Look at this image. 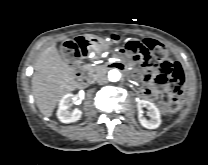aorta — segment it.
Wrapping results in <instances>:
<instances>
[{
    "mask_svg": "<svg viewBox=\"0 0 208 165\" xmlns=\"http://www.w3.org/2000/svg\"><path fill=\"white\" fill-rule=\"evenodd\" d=\"M108 78L111 82H117L121 78V74L117 69H112L108 72Z\"/></svg>",
    "mask_w": 208,
    "mask_h": 165,
    "instance_id": "aorta-1",
    "label": "aorta"
}]
</instances>
